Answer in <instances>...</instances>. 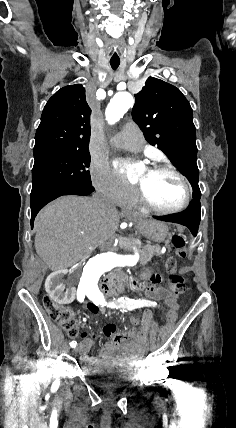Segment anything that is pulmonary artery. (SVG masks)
Returning a JSON list of instances; mask_svg holds the SVG:
<instances>
[{
	"instance_id": "pulmonary-artery-1",
	"label": "pulmonary artery",
	"mask_w": 236,
	"mask_h": 428,
	"mask_svg": "<svg viewBox=\"0 0 236 428\" xmlns=\"http://www.w3.org/2000/svg\"><path fill=\"white\" fill-rule=\"evenodd\" d=\"M120 136L121 135H119V137ZM115 146L118 147V148H121V149H126V150H134L136 148H142L143 147V146H140V145H136L133 142H121V143L116 142Z\"/></svg>"
}]
</instances>
